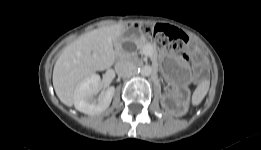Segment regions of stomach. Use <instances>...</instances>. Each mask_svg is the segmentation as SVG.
I'll return each mask as SVG.
<instances>
[{"label": "stomach", "instance_id": "1", "mask_svg": "<svg viewBox=\"0 0 261 150\" xmlns=\"http://www.w3.org/2000/svg\"><path fill=\"white\" fill-rule=\"evenodd\" d=\"M137 35H138V34H137V32L135 31V29H133V31H132V33H131V37L135 39V38H137Z\"/></svg>", "mask_w": 261, "mask_h": 150}]
</instances>
